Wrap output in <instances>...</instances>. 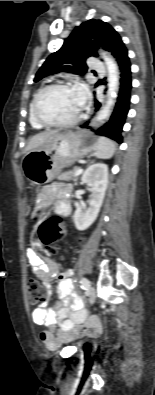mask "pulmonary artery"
<instances>
[{
  "mask_svg": "<svg viewBox=\"0 0 155 395\" xmlns=\"http://www.w3.org/2000/svg\"><path fill=\"white\" fill-rule=\"evenodd\" d=\"M90 67L91 69H94L96 71H100V72L103 71V65L97 59L94 58L90 60Z\"/></svg>",
  "mask_w": 155,
  "mask_h": 395,
  "instance_id": "e3ab8cb5",
  "label": "pulmonary artery"
}]
</instances>
